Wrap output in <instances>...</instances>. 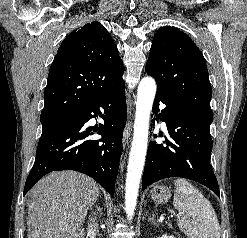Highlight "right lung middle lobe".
<instances>
[{
    "label": "right lung middle lobe",
    "instance_id": "1",
    "mask_svg": "<svg viewBox=\"0 0 247 238\" xmlns=\"http://www.w3.org/2000/svg\"><path fill=\"white\" fill-rule=\"evenodd\" d=\"M62 118V117H61ZM61 118H55V119H50V120H43L41 121L43 129L58 122Z\"/></svg>",
    "mask_w": 247,
    "mask_h": 238
}]
</instances>
